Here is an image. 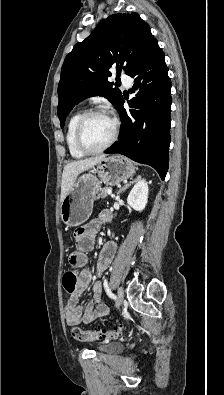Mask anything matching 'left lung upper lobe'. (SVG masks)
<instances>
[{"instance_id": "obj_1", "label": "left lung upper lobe", "mask_w": 224, "mask_h": 395, "mask_svg": "<svg viewBox=\"0 0 224 395\" xmlns=\"http://www.w3.org/2000/svg\"><path fill=\"white\" fill-rule=\"evenodd\" d=\"M154 41L149 25L132 13L109 16L75 44L64 60L58 85L61 127L72 108L87 97L104 96L117 107L123 96L107 80L108 69L116 66L118 75L122 69L128 74Z\"/></svg>"}]
</instances>
